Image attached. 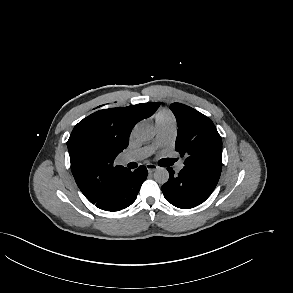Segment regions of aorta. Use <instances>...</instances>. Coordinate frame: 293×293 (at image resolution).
Returning <instances> with one entry per match:
<instances>
[{"label": "aorta", "instance_id": "aorta-1", "mask_svg": "<svg viewBox=\"0 0 293 293\" xmlns=\"http://www.w3.org/2000/svg\"><path fill=\"white\" fill-rule=\"evenodd\" d=\"M133 135L139 142H147L153 139L155 131L152 126L148 124H139L134 128ZM154 179L160 184H164L169 179V173L165 168H158L154 172Z\"/></svg>", "mask_w": 293, "mask_h": 293}]
</instances>
